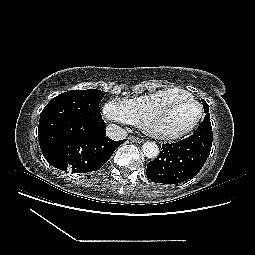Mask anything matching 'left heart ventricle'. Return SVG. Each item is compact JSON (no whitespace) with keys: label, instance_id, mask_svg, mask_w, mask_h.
Instances as JSON below:
<instances>
[{"label":"left heart ventricle","instance_id":"b2bd125f","mask_svg":"<svg viewBox=\"0 0 255 255\" xmlns=\"http://www.w3.org/2000/svg\"><path fill=\"white\" fill-rule=\"evenodd\" d=\"M197 106L185 99H176L154 120L153 127L165 132H178L192 123L197 115Z\"/></svg>","mask_w":255,"mask_h":255}]
</instances>
